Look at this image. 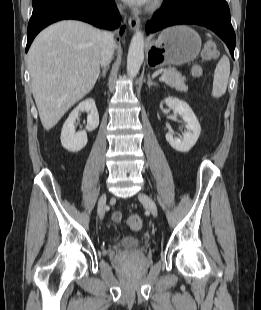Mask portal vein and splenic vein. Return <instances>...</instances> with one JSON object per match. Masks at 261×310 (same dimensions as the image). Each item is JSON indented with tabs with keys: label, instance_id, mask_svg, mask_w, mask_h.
<instances>
[{
	"label": "portal vein and splenic vein",
	"instance_id": "portal-vein-and-splenic-vein-1",
	"mask_svg": "<svg viewBox=\"0 0 261 310\" xmlns=\"http://www.w3.org/2000/svg\"><path fill=\"white\" fill-rule=\"evenodd\" d=\"M165 79H166V76H164V75H162V76L159 78L160 81H165Z\"/></svg>",
	"mask_w": 261,
	"mask_h": 310
}]
</instances>
